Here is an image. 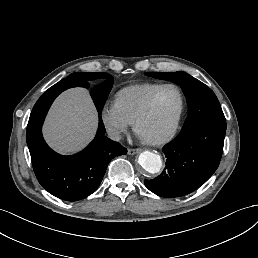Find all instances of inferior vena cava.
<instances>
[{"mask_svg":"<svg viewBox=\"0 0 258 258\" xmlns=\"http://www.w3.org/2000/svg\"><path fill=\"white\" fill-rule=\"evenodd\" d=\"M107 133L110 139L119 141L121 139L120 132L114 128H108Z\"/></svg>","mask_w":258,"mask_h":258,"instance_id":"inferior-vena-cava-1","label":"inferior vena cava"}]
</instances>
